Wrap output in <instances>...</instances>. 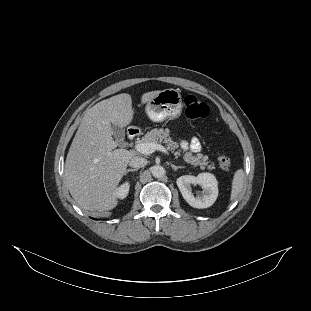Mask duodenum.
Segmentation results:
<instances>
[{
	"instance_id": "obj_1",
	"label": "duodenum",
	"mask_w": 311,
	"mask_h": 311,
	"mask_svg": "<svg viewBox=\"0 0 311 311\" xmlns=\"http://www.w3.org/2000/svg\"><path fill=\"white\" fill-rule=\"evenodd\" d=\"M140 134V130L137 127H130L127 131L128 140H134Z\"/></svg>"
}]
</instances>
